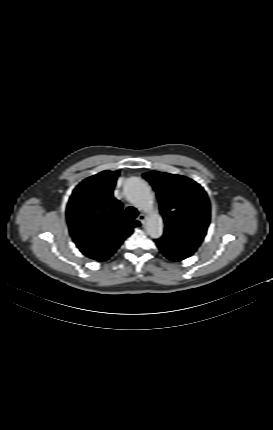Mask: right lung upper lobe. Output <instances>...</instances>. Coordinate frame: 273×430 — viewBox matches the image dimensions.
Wrapping results in <instances>:
<instances>
[{"label": "right lung upper lobe", "instance_id": "right-lung-upper-lobe-1", "mask_svg": "<svg viewBox=\"0 0 273 430\" xmlns=\"http://www.w3.org/2000/svg\"><path fill=\"white\" fill-rule=\"evenodd\" d=\"M119 171H103L83 180L73 191L66 210L70 234L87 257L106 261L131 235L137 220L126 221L113 196Z\"/></svg>", "mask_w": 273, "mask_h": 430}]
</instances>
